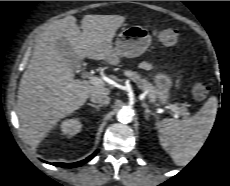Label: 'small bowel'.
Listing matches in <instances>:
<instances>
[{
	"label": "small bowel",
	"mask_w": 230,
	"mask_h": 186,
	"mask_svg": "<svg viewBox=\"0 0 230 186\" xmlns=\"http://www.w3.org/2000/svg\"><path fill=\"white\" fill-rule=\"evenodd\" d=\"M142 67L145 68V69H150L151 68V65L149 63H143L142 64Z\"/></svg>",
	"instance_id": "small-bowel-1"
}]
</instances>
